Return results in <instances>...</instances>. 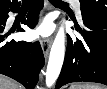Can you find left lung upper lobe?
Masks as SVG:
<instances>
[{
  "label": "left lung upper lobe",
  "instance_id": "obj_1",
  "mask_svg": "<svg viewBox=\"0 0 107 89\" xmlns=\"http://www.w3.org/2000/svg\"><path fill=\"white\" fill-rule=\"evenodd\" d=\"M81 12L107 15V0H80Z\"/></svg>",
  "mask_w": 107,
  "mask_h": 89
}]
</instances>
